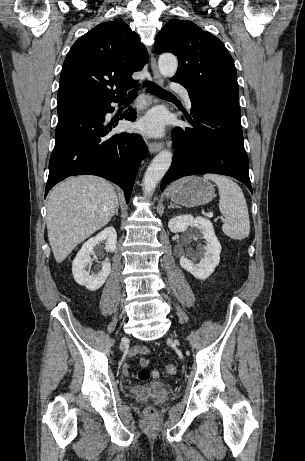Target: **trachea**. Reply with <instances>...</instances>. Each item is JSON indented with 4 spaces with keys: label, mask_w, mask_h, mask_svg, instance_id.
<instances>
[{
    "label": "trachea",
    "mask_w": 305,
    "mask_h": 461,
    "mask_svg": "<svg viewBox=\"0 0 305 461\" xmlns=\"http://www.w3.org/2000/svg\"><path fill=\"white\" fill-rule=\"evenodd\" d=\"M146 84V87L148 89V91L158 97H161V98H165V97H174V95L166 90H164L163 88L159 87L158 85L152 83V82H145ZM137 96V92L136 91H130L128 96H127V99H134L136 98Z\"/></svg>",
    "instance_id": "3493384b"
}]
</instances>
